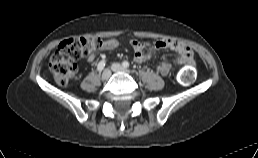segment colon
Returning <instances> with one entry per match:
<instances>
[{
  "label": "colon",
  "instance_id": "obj_1",
  "mask_svg": "<svg viewBox=\"0 0 258 158\" xmlns=\"http://www.w3.org/2000/svg\"><path fill=\"white\" fill-rule=\"evenodd\" d=\"M103 41L100 39L69 38L62 41L50 58L49 68L55 81L60 85L68 84L76 74V61L92 50L100 49ZM195 77L191 66L179 75V82L188 85Z\"/></svg>",
  "mask_w": 258,
  "mask_h": 158
}]
</instances>
